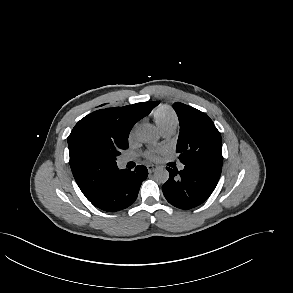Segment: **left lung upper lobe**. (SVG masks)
<instances>
[{"instance_id": "1", "label": "left lung upper lobe", "mask_w": 293, "mask_h": 293, "mask_svg": "<svg viewBox=\"0 0 293 293\" xmlns=\"http://www.w3.org/2000/svg\"><path fill=\"white\" fill-rule=\"evenodd\" d=\"M180 122L176 152L183 164H209L222 169V140L213 121L180 102L173 104Z\"/></svg>"}]
</instances>
